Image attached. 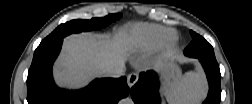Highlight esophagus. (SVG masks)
Masks as SVG:
<instances>
[{
    "label": "esophagus",
    "mask_w": 252,
    "mask_h": 104,
    "mask_svg": "<svg viewBox=\"0 0 252 104\" xmlns=\"http://www.w3.org/2000/svg\"><path fill=\"white\" fill-rule=\"evenodd\" d=\"M138 80V74L137 73H130L127 77V83H128V86L131 88L132 86L135 85V83L137 82Z\"/></svg>",
    "instance_id": "34e87169"
}]
</instances>
